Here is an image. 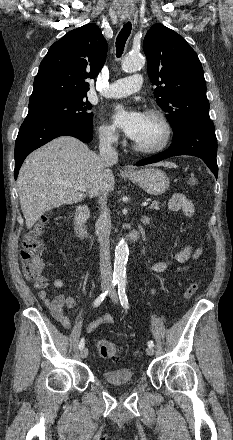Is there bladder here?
<instances>
[{"instance_id": "31cf9c89", "label": "bladder", "mask_w": 233, "mask_h": 440, "mask_svg": "<svg viewBox=\"0 0 233 440\" xmlns=\"http://www.w3.org/2000/svg\"><path fill=\"white\" fill-rule=\"evenodd\" d=\"M103 378L107 383L113 386H122L132 382L133 373L130 368H120L115 370H106Z\"/></svg>"}]
</instances>
